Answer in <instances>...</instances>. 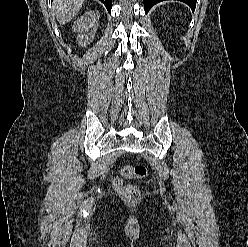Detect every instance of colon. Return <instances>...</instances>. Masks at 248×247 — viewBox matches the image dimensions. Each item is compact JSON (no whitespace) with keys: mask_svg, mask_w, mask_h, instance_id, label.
<instances>
[{"mask_svg":"<svg viewBox=\"0 0 248 247\" xmlns=\"http://www.w3.org/2000/svg\"><path fill=\"white\" fill-rule=\"evenodd\" d=\"M147 169L143 165L126 164L121 170V176L116 179L115 186L122 197L131 203L137 202L140 199V191L137 187L125 184V179H142L146 176Z\"/></svg>","mask_w":248,"mask_h":247,"instance_id":"1","label":"colon"}]
</instances>
